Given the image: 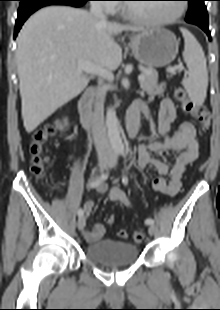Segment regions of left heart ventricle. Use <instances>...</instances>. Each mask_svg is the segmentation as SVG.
I'll return each instance as SVG.
<instances>
[{"instance_id":"b2bd125f","label":"left heart ventricle","mask_w":220,"mask_h":310,"mask_svg":"<svg viewBox=\"0 0 220 310\" xmlns=\"http://www.w3.org/2000/svg\"><path fill=\"white\" fill-rule=\"evenodd\" d=\"M128 6L132 13L152 20L168 18L178 9V3L129 4Z\"/></svg>"}]
</instances>
